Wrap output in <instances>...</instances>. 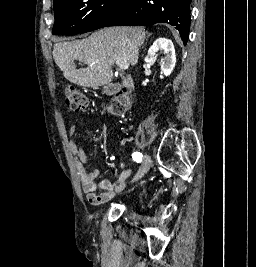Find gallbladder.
<instances>
[{
  "label": "gallbladder",
  "mask_w": 256,
  "mask_h": 267,
  "mask_svg": "<svg viewBox=\"0 0 256 267\" xmlns=\"http://www.w3.org/2000/svg\"><path fill=\"white\" fill-rule=\"evenodd\" d=\"M120 88V84H110V86H103L102 94L106 96H113Z\"/></svg>",
  "instance_id": "gallbladder-1"
}]
</instances>
